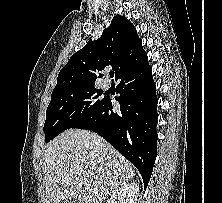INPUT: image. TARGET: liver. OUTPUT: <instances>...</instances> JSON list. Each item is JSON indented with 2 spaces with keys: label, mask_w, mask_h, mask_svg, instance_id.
I'll use <instances>...</instances> for the list:
<instances>
[{
  "label": "liver",
  "mask_w": 222,
  "mask_h": 203,
  "mask_svg": "<svg viewBox=\"0 0 222 203\" xmlns=\"http://www.w3.org/2000/svg\"><path fill=\"white\" fill-rule=\"evenodd\" d=\"M42 168L46 203H102L135 176L133 165L113 146L81 129H68L49 142Z\"/></svg>",
  "instance_id": "6515ba94"
}]
</instances>
